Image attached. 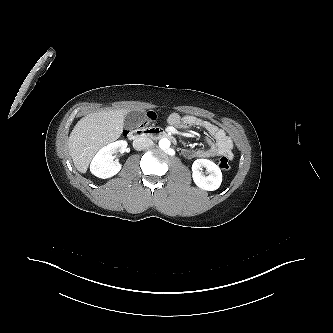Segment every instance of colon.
Here are the masks:
<instances>
[{
  "mask_svg": "<svg viewBox=\"0 0 333 333\" xmlns=\"http://www.w3.org/2000/svg\"><path fill=\"white\" fill-rule=\"evenodd\" d=\"M156 116L153 112L149 111L145 115L144 122L145 124H149L155 120ZM219 166L223 170H228L230 168V158L226 155H223L219 160Z\"/></svg>",
  "mask_w": 333,
  "mask_h": 333,
  "instance_id": "colon-1",
  "label": "colon"
}]
</instances>
